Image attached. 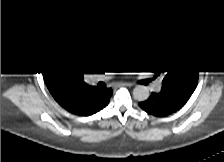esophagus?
Here are the masks:
<instances>
[{"label": "esophagus", "mask_w": 224, "mask_h": 162, "mask_svg": "<svg viewBox=\"0 0 224 162\" xmlns=\"http://www.w3.org/2000/svg\"><path fill=\"white\" fill-rule=\"evenodd\" d=\"M127 86L131 87L132 85L128 84Z\"/></svg>", "instance_id": "esophagus-1"}]
</instances>
